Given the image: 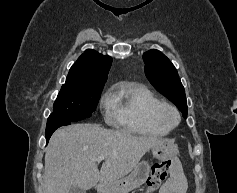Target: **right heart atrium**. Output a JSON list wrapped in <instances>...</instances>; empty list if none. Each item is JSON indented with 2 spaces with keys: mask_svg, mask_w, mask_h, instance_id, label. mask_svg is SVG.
Masks as SVG:
<instances>
[{
  "mask_svg": "<svg viewBox=\"0 0 237 193\" xmlns=\"http://www.w3.org/2000/svg\"><path fill=\"white\" fill-rule=\"evenodd\" d=\"M101 107L106 111L107 118L110 120V114L112 111V106L110 102V95H106L101 100Z\"/></svg>",
  "mask_w": 237,
  "mask_h": 193,
  "instance_id": "obj_1",
  "label": "right heart atrium"
}]
</instances>
